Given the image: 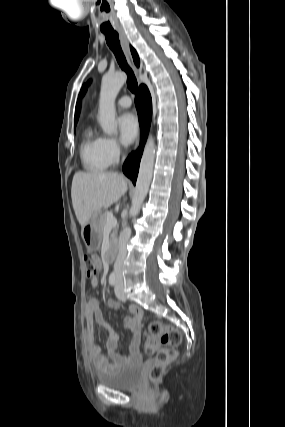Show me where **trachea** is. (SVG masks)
Wrapping results in <instances>:
<instances>
[{
	"mask_svg": "<svg viewBox=\"0 0 285 427\" xmlns=\"http://www.w3.org/2000/svg\"><path fill=\"white\" fill-rule=\"evenodd\" d=\"M107 45L113 51L121 69L127 74V87L132 93H136L138 84L132 69L127 64L126 58L120 46L119 35L116 31H104Z\"/></svg>",
	"mask_w": 285,
	"mask_h": 427,
	"instance_id": "trachea-1",
	"label": "trachea"
}]
</instances>
